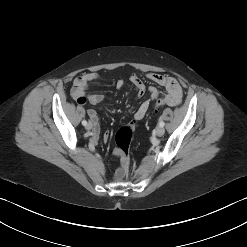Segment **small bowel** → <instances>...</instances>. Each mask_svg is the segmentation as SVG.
Segmentation results:
<instances>
[{"instance_id":"1","label":"small bowel","mask_w":247,"mask_h":247,"mask_svg":"<svg viewBox=\"0 0 247 247\" xmlns=\"http://www.w3.org/2000/svg\"><path fill=\"white\" fill-rule=\"evenodd\" d=\"M99 76L96 73H86L76 77L73 81V86L71 90L72 97L79 103L84 104L89 101L91 104L96 105L103 101L104 95L100 93H94L86 95V89L91 82L98 80ZM147 78L154 82L157 85L163 86L166 88L165 99L168 101V105L175 106L181 103L182 101V88L179 82L174 77L165 76L159 73H148ZM130 83L136 90L138 97H143L148 91L150 97L144 100L139 107L136 109L134 118L135 120H142L146 113L148 112L152 101L158 98L160 91L155 86L147 87L145 83L135 74H132L129 78ZM125 86L123 80H118L116 82V87L121 89ZM88 115L91 121L95 124V133L98 131V116L97 112L94 109L88 110ZM109 133L106 132L103 135V141L107 142L109 140ZM118 176L121 174L118 172Z\"/></svg>"}]
</instances>
